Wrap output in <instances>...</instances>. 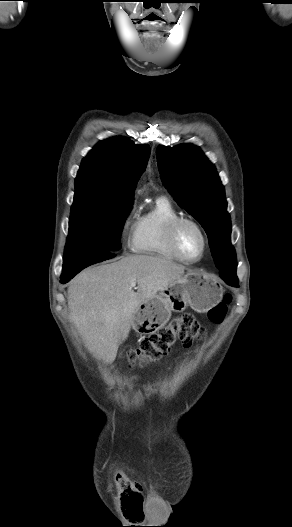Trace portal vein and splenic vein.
I'll return each instance as SVG.
<instances>
[{
  "label": "portal vein and splenic vein",
  "mask_w": 292,
  "mask_h": 527,
  "mask_svg": "<svg viewBox=\"0 0 292 527\" xmlns=\"http://www.w3.org/2000/svg\"><path fill=\"white\" fill-rule=\"evenodd\" d=\"M136 286V282L135 281H132L131 282V287H135Z\"/></svg>",
  "instance_id": "obj_1"
}]
</instances>
